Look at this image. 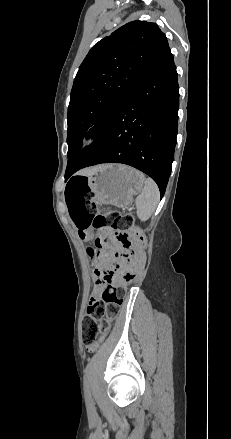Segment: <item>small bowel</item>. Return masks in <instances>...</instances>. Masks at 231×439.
Here are the masks:
<instances>
[{
  "instance_id": "obj_1",
  "label": "small bowel",
  "mask_w": 231,
  "mask_h": 439,
  "mask_svg": "<svg viewBox=\"0 0 231 439\" xmlns=\"http://www.w3.org/2000/svg\"><path fill=\"white\" fill-rule=\"evenodd\" d=\"M107 238L108 241L111 242L113 239V236L111 234V232L107 231ZM83 236L85 238H88V234H83ZM95 265H96V277H97V283L93 289L92 295H91V301H94L96 298H98L100 296V294L102 293V291L104 290V282H102L100 280V277L103 274V271L106 269V257H99L96 258L95 260Z\"/></svg>"
}]
</instances>
